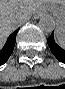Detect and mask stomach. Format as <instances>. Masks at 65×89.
Segmentation results:
<instances>
[{
  "instance_id": "0dacf381",
  "label": "stomach",
  "mask_w": 65,
  "mask_h": 89,
  "mask_svg": "<svg viewBox=\"0 0 65 89\" xmlns=\"http://www.w3.org/2000/svg\"><path fill=\"white\" fill-rule=\"evenodd\" d=\"M48 8L57 17L61 27L65 30V2L62 5L51 4Z\"/></svg>"
}]
</instances>
